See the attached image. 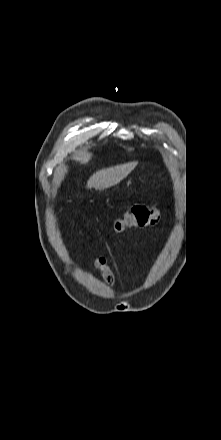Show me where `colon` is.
Masks as SVG:
<instances>
[{
    "instance_id": "colon-1",
    "label": "colon",
    "mask_w": 221,
    "mask_h": 440,
    "mask_svg": "<svg viewBox=\"0 0 221 440\" xmlns=\"http://www.w3.org/2000/svg\"><path fill=\"white\" fill-rule=\"evenodd\" d=\"M160 213L154 207L134 206L122 216L116 218L113 228L116 232H123L129 228H144L157 224Z\"/></svg>"
}]
</instances>
